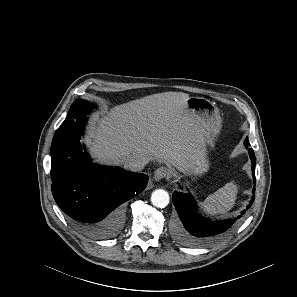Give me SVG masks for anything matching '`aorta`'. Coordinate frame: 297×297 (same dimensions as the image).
<instances>
[{
    "instance_id": "762f6f07",
    "label": "aorta",
    "mask_w": 297,
    "mask_h": 297,
    "mask_svg": "<svg viewBox=\"0 0 297 297\" xmlns=\"http://www.w3.org/2000/svg\"><path fill=\"white\" fill-rule=\"evenodd\" d=\"M169 194L163 189L153 191L151 203L158 208H165L169 204Z\"/></svg>"
}]
</instances>
